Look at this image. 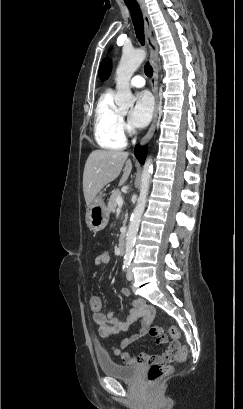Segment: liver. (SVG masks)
<instances>
[{"label":"liver","instance_id":"1","mask_svg":"<svg viewBox=\"0 0 243 409\" xmlns=\"http://www.w3.org/2000/svg\"><path fill=\"white\" fill-rule=\"evenodd\" d=\"M124 164L119 186L126 182L132 170L128 153L115 150H95L90 153L83 173V192L87 206L105 185L119 176Z\"/></svg>","mask_w":243,"mask_h":409}]
</instances>
